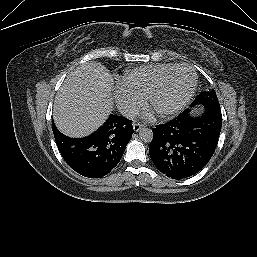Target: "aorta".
Segmentation results:
<instances>
[{
	"label": "aorta",
	"instance_id": "aorta-1",
	"mask_svg": "<svg viewBox=\"0 0 257 257\" xmlns=\"http://www.w3.org/2000/svg\"><path fill=\"white\" fill-rule=\"evenodd\" d=\"M140 139L145 143H150L153 140V132L149 128H141L139 131Z\"/></svg>",
	"mask_w": 257,
	"mask_h": 257
}]
</instances>
